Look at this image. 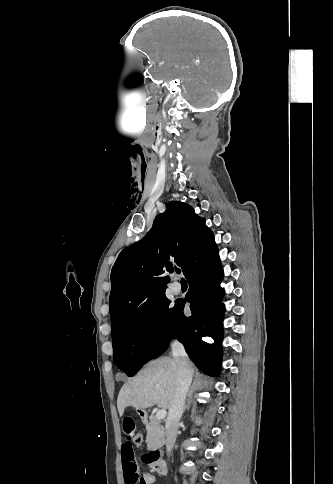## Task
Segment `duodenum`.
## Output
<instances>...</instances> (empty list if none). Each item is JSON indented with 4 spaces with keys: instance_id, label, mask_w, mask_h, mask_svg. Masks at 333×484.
<instances>
[{
    "instance_id": "1",
    "label": "duodenum",
    "mask_w": 333,
    "mask_h": 484,
    "mask_svg": "<svg viewBox=\"0 0 333 484\" xmlns=\"http://www.w3.org/2000/svg\"><path fill=\"white\" fill-rule=\"evenodd\" d=\"M148 458L152 464L153 470L159 474V475H164L166 473V464L164 460L161 457V451L160 450H152L148 454Z\"/></svg>"
}]
</instances>
